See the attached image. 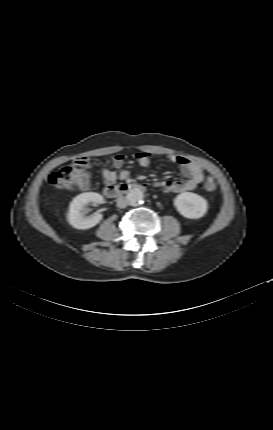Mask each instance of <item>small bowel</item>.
I'll use <instances>...</instances> for the list:
<instances>
[{
	"label": "small bowel",
	"instance_id": "small-bowel-1",
	"mask_svg": "<svg viewBox=\"0 0 273 430\" xmlns=\"http://www.w3.org/2000/svg\"><path fill=\"white\" fill-rule=\"evenodd\" d=\"M138 163L142 167H146L151 162V155L148 152H140L136 156ZM167 158L178 165L181 173L186 178L184 181L177 180H162L154 182L155 187H161L166 193H181L195 189L204 179V171L200 164L193 162L183 156L176 154H168ZM125 161L123 155H115L112 158V166L116 169H120ZM81 164H89V159H81ZM101 175L106 184H114L118 180H125L129 177L127 170H119L118 172L109 168H101Z\"/></svg>",
	"mask_w": 273,
	"mask_h": 430
}]
</instances>
